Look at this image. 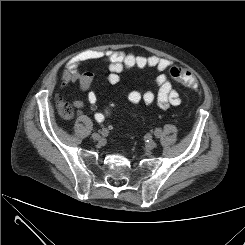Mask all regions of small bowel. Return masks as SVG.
Wrapping results in <instances>:
<instances>
[{"mask_svg":"<svg viewBox=\"0 0 245 245\" xmlns=\"http://www.w3.org/2000/svg\"><path fill=\"white\" fill-rule=\"evenodd\" d=\"M102 60L108 64V82L112 85L118 84L121 80V73L130 69H146L153 68L159 73L155 77V85L158 92L155 95L152 91L132 90L128 94V101L132 105L140 103L151 106L154 103L160 109H168L178 106L181 103V98L177 90L173 87L170 79L164 73L172 62L169 59L161 58L155 55L138 56L130 53H124L117 50L105 51H84L73 57L66 64L65 70L61 74L62 87L65 88L71 83H78L83 91H87V100L92 110L96 109L97 95L94 91L89 90L94 80V74L90 71L80 72L79 67L89 61ZM75 107L83 109L85 103L81 100L74 102ZM94 118L101 123L105 120V115L101 112H96Z\"/></svg>","mask_w":245,"mask_h":245,"instance_id":"obj_1","label":"small bowel"}]
</instances>
